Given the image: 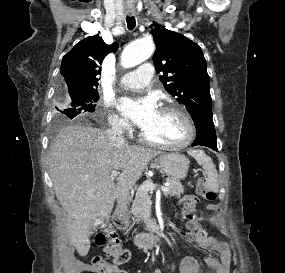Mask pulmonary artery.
Returning a JSON list of instances; mask_svg holds the SVG:
<instances>
[{
	"label": "pulmonary artery",
	"instance_id": "pulmonary-artery-1",
	"mask_svg": "<svg viewBox=\"0 0 285 273\" xmlns=\"http://www.w3.org/2000/svg\"><path fill=\"white\" fill-rule=\"evenodd\" d=\"M154 68L151 63L141 64L137 69L124 74L120 84L128 89H140L146 87L153 76Z\"/></svg>",
	"mask_w": 285,
	"mask_h": 273
}]
</instances>
